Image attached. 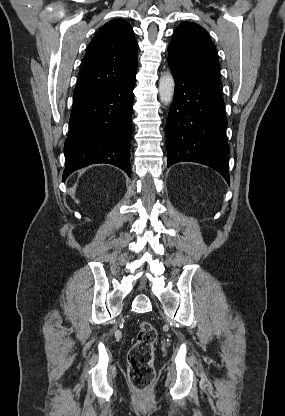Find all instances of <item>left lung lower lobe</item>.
Returning a JSON list of instances; mask_svg holds the SVG:
<instances>
[{"mask_svg": "<svg viewBox=\"0 0 285 416\" xmlns=\"http://www.w3.org/2000/svg\"><path fill=\"white\" fill-rule=\"evenodd\" d=\"M175 79L167 124V167L196 162L218 171L230 183L227 119L220 88L209 86L169 64Z\"/></svg>", "mask_w": 285, "mask_h": 416, "instance_id": "0a47b994", "label": "left lung lower lobe"}]
</instances>
